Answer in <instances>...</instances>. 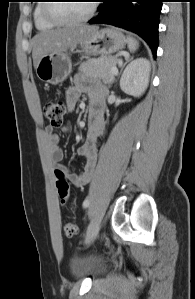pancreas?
Returning a JSON list of instances; mask_svg holds the SVG:
<instances>
[{
  "instance_id": "cf45deb5",
  "label": "pancreas",
  "mask_w": 195,
  "mask_h": 299,
  "mask_svg": "<svg viewBox=\"0 0 195 299\" xmlns=\"http://www.w3.org/2000/svg\"><path fill=\"white\" fill-rule=\"evenodd\" d=\"M116 56H101L97 59H88L81 63L79 71L91 78L101 79L105 84L110 85L114 80L112 67H116Z\"/></svg>"
}]
</instances>
